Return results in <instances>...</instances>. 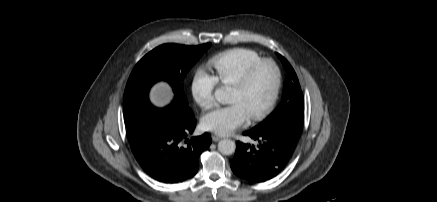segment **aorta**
<instances>
[{
  "label": "aorta",
  "mask_w": 437,
  "mask_h": 202,
  "mask_svg": "<svg viewBox=\"0 0 437 202\" xmlns=\"http://www.w3.org/2000/svg\"><path fill=\"white\" fill-rule=\"evenodd\" d=\"M214 96L220 103H227L229 101V88L221 87L215 90ZM218 150L223 155H231L236 150V144L230 139H223L218 143Z\"/></svg>",
  "instance_id": "aorta-1"
}]
</instances>
